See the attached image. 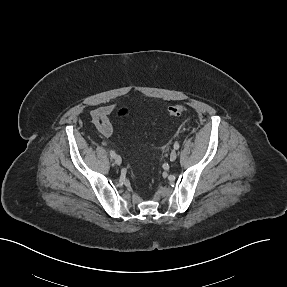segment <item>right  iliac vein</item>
I'll return each instance as SVG.
<instances>
[{"instance_id": "1", "label": "right iliac vein", "mask_w": 287, "mask_h": 287, "mask_svg": "<svg viewBox=\"0 0 287 287\" xmlns=\"http://www.w3.org/2000/svg\"><path fill=\"white\" fill-rule=\"evenodd\" d=\"M114 161H115V163L117 164V165H120L121 163H122V159H121V157L120 156H115V159H114Z\"/></svg>"}]
</instances>
